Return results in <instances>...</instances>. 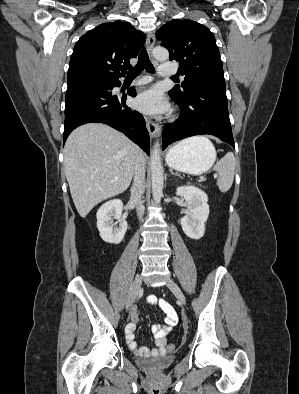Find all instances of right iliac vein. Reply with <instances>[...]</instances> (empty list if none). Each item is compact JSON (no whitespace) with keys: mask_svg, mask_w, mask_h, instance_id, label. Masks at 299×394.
Wrapping results in <instances>:
<instances>
[{"mask_svg":"<svg viewBox=\"0 0 299 394\" xmlns=\"http://www.w3.org/2000/svg\"><path fill=\"white\" fill-rule=\"evenodd\" d=\"M141 283H142V277H141L140 274H137L135 279H134V281H133V283H132V286H131V289H130V293H129V296H128V299H127V303H126V309L127 310L131 308V306L133 305L135 299L137 298V296H138V294L140 292Z\"/></svg>","mask_w":299,"mask_h":394,"instance_id":"1","label":"right iliac vein"}]
</instances>
